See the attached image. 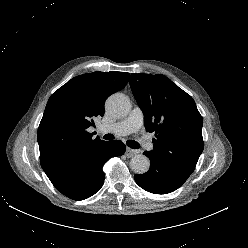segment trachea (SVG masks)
<instances>
[{"label": "trachea", "instance_id": "3493384b", "mask_svg": "<svg viewBox=\"0 0 248 248\" xmlns=\"http://www.w3.org/2000/svg\"><path fill=\"white\" fill-rule=\"evenodd\" d=\"M103 138H104L105 140H113V139H114V136H113L112 134H105V135L103 136ZM127 145H128L130 148H132V149H138V148H140V144H139L138 142L134 141V140H128V141H127Z\"/></svg>", "mask_w": 248, "mask_h": 248}]
</instances>
